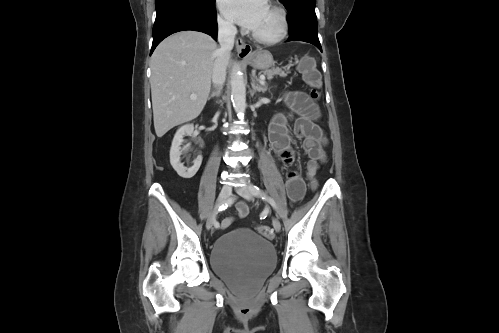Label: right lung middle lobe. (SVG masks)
Instances as JSON below:
<instances>
[{
    "label": "right lung middle lobe",
    "instance_id": "right-lung-middle-lobe-1",
    "mask_svg": "<svg viewBox=\"0 0 499 333\" xmlns=\"http://www.w3.org/2000/svg\"><path fill=\"white\" fill-rule=\"evenodd\" d=\"M214 5L215 0H156V13L174 8L203 12L213 8Z\"/></svg>",
    "mask_w": 499,
    "mask_h": 333
}]
</instances>
